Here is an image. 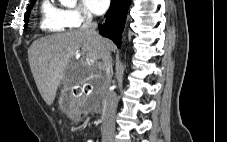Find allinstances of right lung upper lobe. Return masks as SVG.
I'll return each mask as SVG.
<instances>
[{
    "label": "right lung upper lobe",
    "instance_id": "obj_1",
    "mask_svg": "<svg viewBox=\"0 0 227 142\" xmlns=\"http://www.w3.org/2000/svg\"><path fill=\"white\" fill-rule=\"evenodd\" d=\"M35 0H31V3L34 2Z\"/></svg>",
    "mask_w": 227,
    "mask_h": 142
}]
</instances>
